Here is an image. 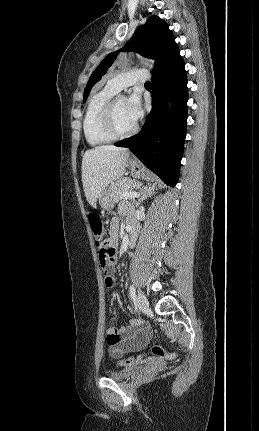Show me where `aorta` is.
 <instances>
[{
    "label": "aorta",
    "instance_id": "1",
    "mask_svg": "<svg viewBox=\"0 0 259 431\" xmlns=\"http://www.w3.org/2000/svg\"><path fill=\"white\" fill-rule=\"evenodd\" d=\"M141 63H143L145 66L149 67L150 69L153 68V62L148 59H142Z\"/></svg>",
    "mask_w": 259,
    "mask_h": 431
}]
</instances>
